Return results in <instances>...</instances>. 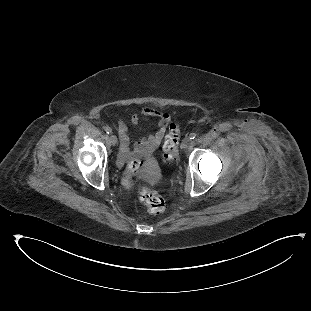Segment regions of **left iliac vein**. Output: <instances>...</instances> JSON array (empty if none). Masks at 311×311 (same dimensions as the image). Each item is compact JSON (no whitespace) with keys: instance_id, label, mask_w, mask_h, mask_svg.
Returning a JSON list of instances; mask_svg holds the SVG:
<instances>
[{"instance_id":"4c4485c4","label":"left iliac vein","mask_w":311,"mask_h":311,"mask_svg":"<svg viewBox=\"0 0 311 311\" xmlns=\"http://www.w3.org/2000/svg\"><path fill=\"white\" fill-rule=\"evenodd\" d=\"M191 139L190 137H185L182 141V148H187L190 145Z\"/></svg>"}]
</instances>
